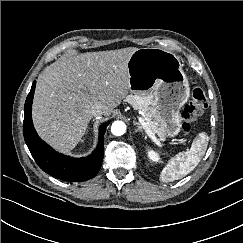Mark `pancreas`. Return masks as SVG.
<instances>
[{
	"instance_id": "cf45deb5",
	"label": "pancreas",
	"mask_w": 243,
	"mask_h": 243,
	"mask_svg": "<svg viewBox=\"0 0 243 243\" xmlns=\"http://www.w3.org/2000/svg\"><path fill=\"white\" fill-rule=\"evenodd\" d=\"M127 102L133 106L134 109L141 111L145 116V122L147 123L151 132L155 135L157 134L160 140H164L165 136L162 132V128L158 122L153 118L151 107L152 99L150 96L146 95H129L127 97Z\"/></svg>"
}]
</instances>
